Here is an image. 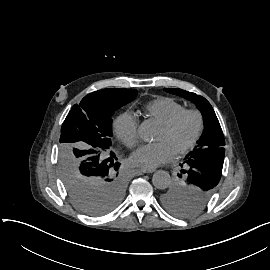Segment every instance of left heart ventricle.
Returning <instances> with one entry per match:
<instances>
[{"instance_id": "left-heart-ventricle-1", "label": "left heart ventricle", "mask_w": 270, "mask_h": 270, "mask_svg": "<svg viewBox=\"0 0 270 270\" xmlns=\"http://www.w3.org/2000/svg\"><path fill=\"white\" fill-rule=\"evenodd\" d=\"M196 128V120L193 116H186L171 132L163 126L157 134L156 141H168L175 149L187 143L193 136Z\"/></svg>"}]
</instances>
